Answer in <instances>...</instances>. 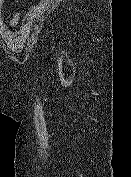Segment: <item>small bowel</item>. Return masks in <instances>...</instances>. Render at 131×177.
Masks as SVG:
<instances>
[{
    "instance_id": "1",
    "label": "small bowel",
    "mask_w": 131,
    "mask_h": 177,
    "mask_svg": "<svg viewBox=\"0 0 131 177\" xmlns=\"http://www.w3.org/2000/svg\"><path fill=\"white\" fill-rule=\"evenodd\" d=\"M18 14H15L13 17H12V19L10 20V25H14L16 22H17V20H18Z\"/></svg>"
}]
</instances>
